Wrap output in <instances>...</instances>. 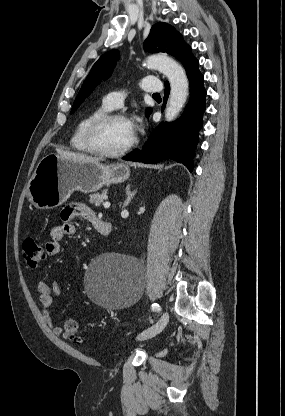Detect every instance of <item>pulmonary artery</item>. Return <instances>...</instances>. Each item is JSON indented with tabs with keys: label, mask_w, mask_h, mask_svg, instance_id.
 Listing matches in <instances>:
<instances>
[{
	"label": "pulmonary artery",
	"mask_w": 285,
	"mask_h": 416,
	"mask_svg": "<svg viewBox=\"0 0 285 416\" xmlns=\"http://www.w3.org/2000/svg\"><path fill=\"white\" fill-rule=\"evenodd\" d=\"M149 81H153L154 83H148ZM141 87L145 91H149L151 96H158L160 93V84L158 80L154 76H146L143 78ZM127 93L126 89H122L121 87H116L114 89V93L108 94L104 97L103 103L109 109H114L119 107L120 101L125 100V95Z\"/></svg>",
	"instance_id": "1"
}]
</instances>
